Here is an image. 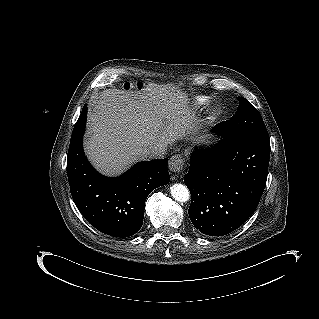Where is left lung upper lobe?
<instances>
[{
  "label": "left lung upper lobe",
  "mask_w": 319,
  "mask_h": 319,
  "mask_svg": "<svg viewBox=\"0 0 319 319\" xmlns=\"http://www.w3.org/2000/svg\"><path fill=\"white\" fill-rule=\"evenodd\" d=\"M239 106L230 120L223 121L221 133L233 138H269L265 124L257 109L245 98L239 97Z\"/></svg>",
  "instance_id": "left-lung-upper-lobe-1"
}]
</instances>
